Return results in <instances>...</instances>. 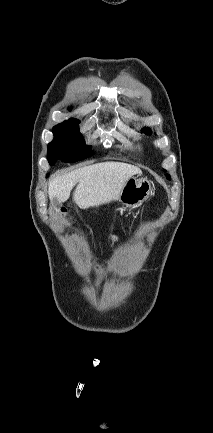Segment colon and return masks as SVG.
<instances>
[{
    "label": "colon",
    "mask_w": 213,
    "mask_h": 433,
    "mask_svg": "<svg viewBox=\"0 0 213 433\" xmlns=\"http://www.w3.org/2000/svg\"><path fill=\"white\" fill-rule=\"evenodd\" d=\"M65 217L69 218V214L67 212L64 213Z\"/></svg>",
    "instance_id": "5ec220e1"
}]
</instances>
